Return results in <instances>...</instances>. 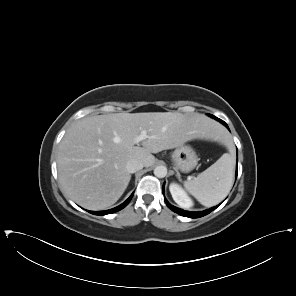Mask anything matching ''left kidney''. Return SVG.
<instances>
[{
  "mask_svg": "<svg viewBox=\"0 0 296 296\" xmlns=\"http://www.w3.org/2000/svg\"><path fill=\"white\" fill-rule=\"evenodd\" d=\"M170 193L173 200L182 208H190L193 206V202L185 190L177 183H171L169 186Z\"/></svg>",
  "mask_w": 296,
  "mask_h": 296,
  "instance_id": "left-kidney-1",
  "label": "left kidney"
}]
</instances>
